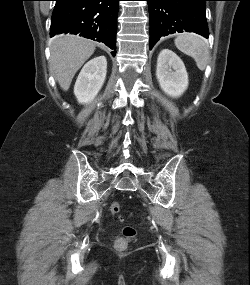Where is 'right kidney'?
<instances>
[{"instance_id":"ca27d5eb","label":"right kidney","mask_w":250,"mask_h":285,"mask_svg":"<svg viewBox=\"0 0 250 285\" xmlns=\"http://www.w3.org/2000/svg\"><path fill=\"white\" fill-rule=\"evenodd\" d=\"M107 72L105 56L95 57L88 61L78 75L74 94L81 104L91 102L102 88Z\"/></svg>"}]
</instances>
